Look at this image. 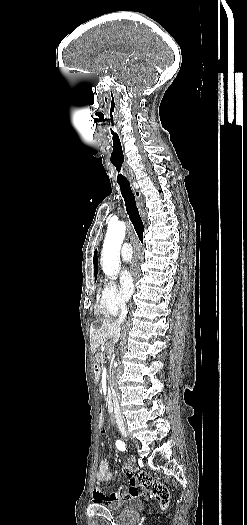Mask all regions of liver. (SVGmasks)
<instances>
[{"mask_svg":"<svg viewBox=\"0 0 247 525\" xmlns=\"http://www.w3.org/2000/svg\"><path fill=\"white\" fill-rule=\"evenodd\" d=\"M91 331L97 341V347L104 345L107 339L118 341L122 331V323H116L115 319H102V321H95L91 325Z\"/></svg>","mask_w":247,"mask_h":525,"instance_id":"1","label":"liver"}]
</instances>
